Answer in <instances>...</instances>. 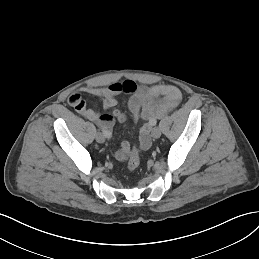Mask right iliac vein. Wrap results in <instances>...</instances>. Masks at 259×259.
Returning <instances> with one entry per match:
<instances>
[{"instance_id":"obj_1","label":"right iliac vein","mask_w":259,"mask_h":259,"mask_svg":"<svg viewBox=\"0 0 259 259\" xmlns=\"http://www.w3.org/2000/svg\"><path fill=\"white\" fill-rule=\"evenodd\" d=\"M96 140L99 143H103L105 141V136L102 133L98 132L97 135H96Z\"/></svg>"}]
</instances>
